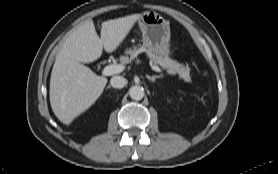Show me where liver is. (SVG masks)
Masks as SVG:
<instances>
[{"instance_id": "1", "label": "liver", "mask_w": 278, "mask_h": 174, "mask_svg": "<svg viewBox=\"0 0 278 174\" xmlns=\"http://www.w3.org/2000/svg\"><path fill=\"white\" fill-rule=\"evenodd\" d=\"M140 17L133 14L102 22L100 38L88 19L66 39L51 72L49 91L51 108L62 123L70 125L91 107L107 84L105 77L82 63L96 61L103 49L108 53L116 50Z\"/></svg>"}]
</instances>
